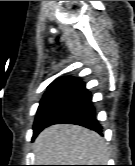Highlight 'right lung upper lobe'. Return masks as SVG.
<instances>
[{"label":"right lung upper lobe","mask_w":135,"mask_h":166,"mask_svg":"<svg viewBox=\"0 0 135 166\" xmlns=\"http://www.w3.org/2000/svg\"><path fill=\"white\" fill-rule=\"evenodd\" d=\"M78 82H81V81L78 78H75V77H70V76L59 77L58 79L53 81L47 87L48 90L44 94V97L49 95V94H51V93H54V92H57V91L69 88V86H71V85H73L75 83H78Z\"/></svg>","instance_id":"1"}]
</instances>
